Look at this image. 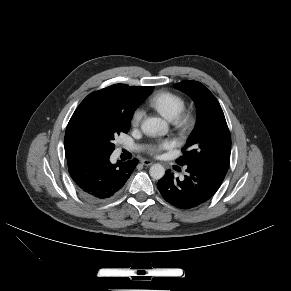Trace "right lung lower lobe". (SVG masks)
<instances>
[{
	"label": "right lung lower lobe",
	"mask_w": 291,
	"mask_h": 291,
	"mask_svg": "<svg viewBox=\"0 0 291 291\" xmlns=\"http://www.w3.org/2000/svg\"><path fill=\"white\" fill-rule=\"evenodd\" d=\"M110 155L80 151L67 157L69 174L86 200L101 202L116 196L138 164L137 159L111 164Z\"/></svg>",
	"instance_id": "1"
}]
</instances>
